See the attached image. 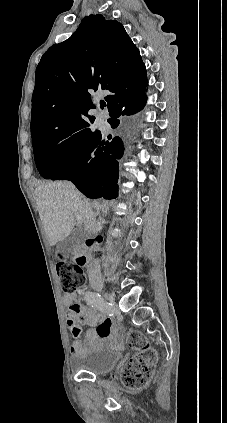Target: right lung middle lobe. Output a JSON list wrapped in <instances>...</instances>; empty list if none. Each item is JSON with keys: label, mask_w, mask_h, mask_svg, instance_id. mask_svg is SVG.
Listing matches in <instances>:
<instances>
[{"label": "right lung middle lobe", "mask_w": 227, "mask_h": 423, "mask_svg": "<svg viewBox=\"0 0 227 423\" xmlns=\"http://www.w3.org/2000/svg\"><path fill=\"white\" fill-rule=\"evenodd\" d=\"M94 134L55 135L32 142L40 175L52 180L70 176L78 167L81 157L92 146Z\"/></svg>", "instance_id": "1"}]
</instances>
